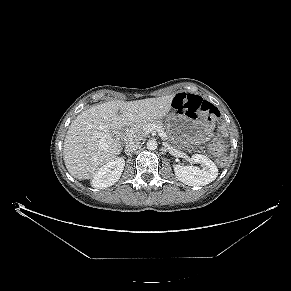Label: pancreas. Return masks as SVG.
<instances>
[{
    "label": "pancreas",
    "instance_id": "1",
    "mask_svg": "<svg viewBox=\"0 0 291 291\" xmlns=\"http://www.w3.org/2000/svg\"><path fill=\"white\" fill-rule=\"evenodd\" d=\"M148 125H155V126L160 127L163 130L165 129L163 122L161 120H158V119L157 120H150V121L141 122V123L136 124L131 129V131L129 132L130 138L136 139V140H140L143 137H145L146 136L145 128Z\"/></svg>",
    "mask_w": 291,
    "mask_h": 291
}]
</instances>
